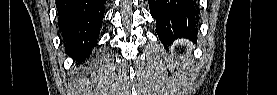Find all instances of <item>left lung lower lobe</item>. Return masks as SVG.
<instances>
[{
    "mask_svg": "<svg viewBox=\"0 0 277 95\" xmlns=\"http://www.w3.org/2000/svg\"><path fill=\"white\" fill-rule=\"evenodd\" d=\"M160 41L167 46L180 38L195 40L198 9L195 0H148Z\"/></svg>",
    "mask_w": 277,
    "mask_h": 95,
    "instance_id": "obj_1",
    "label": "left lung lower lobe"
}]
</instances>
